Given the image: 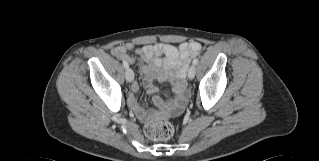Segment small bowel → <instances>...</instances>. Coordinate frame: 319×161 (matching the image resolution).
Here are the masks:
<instances>
[{"instance_id": "1", "label": "small bowel", "mask_w": 319, "mask_h": 161, "mask_svg": "<svg viewBox=\"0 0 319 161\" xmlns=\"http://www.w3.org/2000/svg\"><path fill=\"white\" fill-rule=\"evenodd\" d=\"M134 49L131 42L123 43L114 47L111 53L118 59L129 64L136 62L135 58L128 55V51ZM202 45L196 41L181 43L179 46L166 43H156L142 46L136 50L139 56V69L143 75V83L147 94L151 95L157 91L155 80H170L174 85V98L167 106L174 114H178L184 107L189 93L186 88V72L191 58L200 54ZM164 56V58H162ZM133 92L139 90V84L133 82ZM128 103L138 119L142 121L152 120L157 117V111L147 110L139 105L133 95L128 96ZM153 104L156 108L164 105V101L155 97Z\"/></svg>"}]
</instances>
